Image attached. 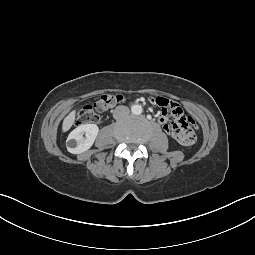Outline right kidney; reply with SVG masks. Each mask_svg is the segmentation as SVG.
Returning <instances> with one entry per match:
<instances>
[{
	"label": "right kidney",
	"instance_id": "ca27d5eb",
	"mask_svg": "<svg viewBox=\"0 0 255 255\" xmlns=\"http://www.w3.org/2000/svg\"><path fill=\"white\" fill-rule=\"evenodd\" d=\"M99 132L95 124H84L75 128L66 140L67 150L72 154L87 151L94 143ZM84 134L86 137H84Z\"/></svg>",
	"mask_w": 255,
	"mask_h": 255
}]
</instances>
